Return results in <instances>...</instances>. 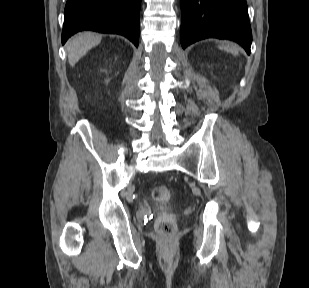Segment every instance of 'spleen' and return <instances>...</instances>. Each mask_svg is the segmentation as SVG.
Instances as JSON below:
<instances>
[{"label":"spleen","instance_id":"spleen-1","mask_svg":"<svg viewBox=\"0 0 309 288\" xmlns=\"http://www.w3.org/2000/svg\"><path fill=\"white\" fill-rule=\"evenodd\" d=\"M226 51L233 53L234 55H238V49L236 46H224L223 47Z\"/></svg>","mask_w":309,"mask_h":288}]
</instances>
